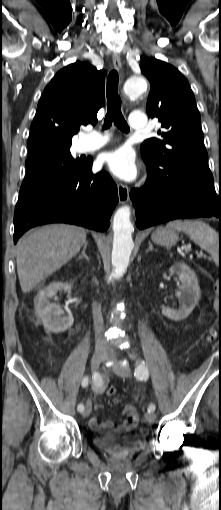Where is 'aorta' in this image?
<instances>
[{"label":"aorta","mask_w":221,"mask_h":510,"mask_svg":"<svg viewBox=\"0 0 221 510\" xmlns=\"http://www.w3.org/2000/svg\"><path fill=\"white\" fill-rule=\"evenodd\" d=\"M146 91L147 82L141 76L130 77L124 84V92L128 97H138ZM130 216L131 207L125 205L115 212L113 218L112 279H119L124 275L134 248L132 240L134 228Z\"/></svg>","instance_id":"762f6f07"}]
</instances>
